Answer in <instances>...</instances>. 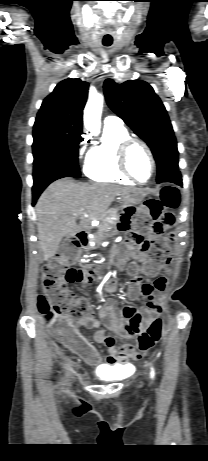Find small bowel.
Returning a JSON list of instances; mask_svg holds the SVG:
<instances>
[{
  "instance_id": "obj_1",
  "label": "small bowel",
  "mask_w": 208,
  "mask_h": 461,
  "mask_svg": "<svg viewBox=\"0 0 208 461\" xmlns=\"http://www.w3.org/2000/svg\"><path fill=\"white\" fill-rule=\"evenodd\" d=\"M123 212L124 214H120L119 217L121 222H132L133 218L139 215V210L135 209L134 204H125ZM164 237L166 241H177L179 236L178 233H165ZM125 254L138 260L144 269L152 264L145 252L133 247H127ZM163 270L166 271V268H163ZM98 282L100 284L104 283L107 292L113 293L118 289V284L115 281H105L103 277H100ZM166 282V277L161 276L153 283H144L141 276L137 275L127 283L125 295L129 300H136L141 295L147 297L148 301L140 310L132 306H125L118 310L113 300L105 301L99 309V318L104 322L105 328L98 329L93 335V339L96 342L105 344L108 350V355L105 358L106 365L121 366L122 376L132 367L130 360H135L138 353L131 344L117 347L114 338L106 333V329L124 339L137 341L140 332L144 328L143 320L154 319L159 314L158 292L165 289ZM126 307L133 310L131 316L125 315ZM100 320L90 313L75 323L83 328H99ZM69 348L78 353L89 364H98L102 361V357L96 348L88 341L83 347Z\"/></svg>"
}]
</instances>
